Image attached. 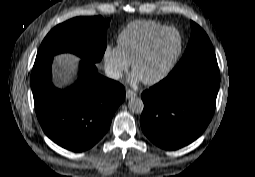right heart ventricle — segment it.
I'll return each mask as SVG.
<instances>
[{"instance_id":"right-heart-ventricle-1","label":"right heart ventricle","mask_w":255,"mask_h":177,"mask_svg":"<svg viewBox=\"0 0 255 177\" xmlns=\"http://www.w3.org/2000/svg\"><path fill=\"white\" fill-rule=\"evenodd\" d=\"M165 27L167 26L164 24L150 20H136L128 23L118 36V45L128 62L133 61L154 33Z\"/></svg>"}]
</instances>
